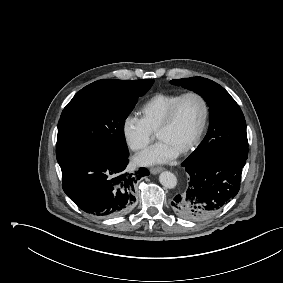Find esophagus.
<instances>
[{
    "label": "esophagus",
    "instance_id": "1",
    "mask_svg": "<svg viewBox=\"0 0 283 283\" xmlns=\"http://www.w3.org/2000/svg\"><path fill=\"white\" fill-rule=\"evenodd\" d=\"M163 170H164L163 167H154V168H151V169H150V172L155 175V174L160 173V172L163 171Z\"/></svg>",
    "mask_w": 283,
    "mask_h": 283
}]
</instances>
